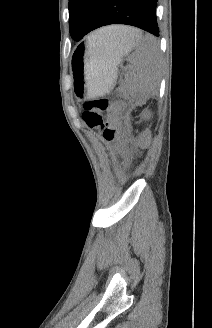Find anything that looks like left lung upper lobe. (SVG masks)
<instances>
[{"instance_id": "left-lung-upper-lobe-1", "label": "left lung upper lobe", "mask_w": 212, "mask_h": 328, "mask_svg": "<svg viewBox=\"0 0 212 328\" xmlns=\"http://www.w3.org/2000/svg\"><path fill=\"white\" fill-rule=\"evenodd\" d=\"M103 0H69V26L71 37L80 41L91 30Z\"/></svg>"}]
</instances>
